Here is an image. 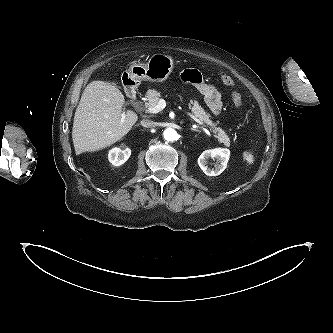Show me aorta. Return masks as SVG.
I'll return each mask as SVG.
<instances>
[{
  "mask_svg": "<svg viewBox=\"0 0 333 333\" xmlns=\"http://www.w3.org/2000/svg\"><path fill=\"white\" fill-rule=\"evenodd\" d=\"M164 139L167 141H174L177 139V132L172 128H167L164 133Z\"/></svg>",
  "mask_w": 333,
  "mask_h": 333,
  "instance_id": "762f6f07",
  "label": "aorta"
}]
</instances>
